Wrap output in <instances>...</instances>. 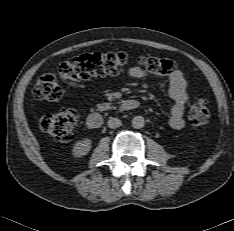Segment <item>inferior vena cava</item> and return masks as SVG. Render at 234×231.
I'll return each instance as SVG.
<instances>
[{"label":"inferior vena cava","instance_id":"602c4592","mask_svg":"<svg viewBox=\"0 0 234 231\" xmlns=\"http://www.w3.org/2000/svg\"><path fill=\"white\" fill-rule=\"evenodd\" d=\"M122 124L121 120L118 119V118H113L111 117L109 120H108V126L112 129L114 128H118L120 127Z\"/></svg>","mask_w":234,"mask_h":231}]
</instances>
